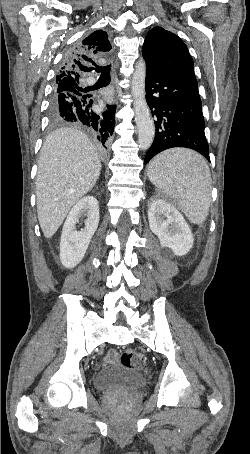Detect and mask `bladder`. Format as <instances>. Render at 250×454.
Segmentation results:
<instances>
[{
    "label": "bladder",
    "instance_id": "1",
    "mask_svg": "<svg viewBox=\"0 0 250 454\" xmlns=\"http://www.w3.org/2000/svg\"><path fill=\"white\" fill-rule=\"evenodd\" d=\"M146 375L123 364H110L93 376V387L97 391H133L144 387Z\"/></svg>",
    "mask_w": 250,
    "mask_h": 454
}]
</instances>
